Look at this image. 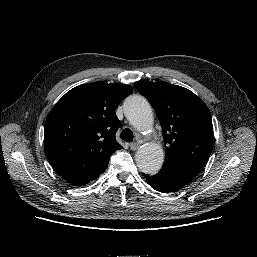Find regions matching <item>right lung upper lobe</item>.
Wrapping results in <instances>:
<instances>
[{
    "instance_id": "right-lung-upper-lobe-1",
    "label": "right lung upper lobe",
    "mask_w": 257,
    "mask_h": 257,
    "mask_svg": "<svg viewBox=\"0 0 257 257\" xmlns=\"http://www.w3.org/2000/svg\"><path fill=\"white\" fill-rule=\"evenodd\" d=\"M132 92L124 84L95 82L67 92L49 113L44 129L48 160L64 180L85 185L107 168L110 155L122 147L115 134V109Z\"/></svg>"
}]
</instances>
